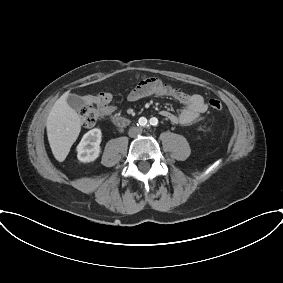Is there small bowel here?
<instances>
[{"label": "small bowel", "mask_w": 283, "mask_h": 283, "mask_svg": "<svg viewBox=\"0 0 283 283\" xmlns=\"http://www.w3.org/2000/svg\"><path fill=\"white\" fill-rule=\"evenodd\" d=\"M151 95L169 96L184 105V108L179 114H174L168 110L161 111V116L174 124H191L207 110V104L201 95L189 94L181 89L163 85L158 80L151 81L150 79H145L141 81L129 91L127 100L129 102H137ZM112 99V94L107 91L84 96L86 104L97 105L104 115H111L114 113L115 106L111 104Z\"/></svg>", "instance_id": "small-bowel-1"}]
</instances>
